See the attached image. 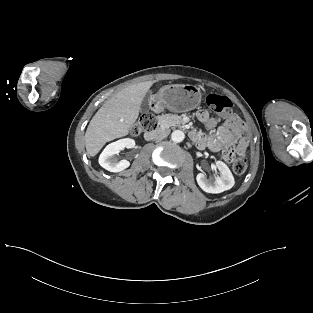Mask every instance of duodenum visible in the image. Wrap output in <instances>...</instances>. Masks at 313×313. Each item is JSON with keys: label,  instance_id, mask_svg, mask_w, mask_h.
<instances>
[{"label": "duodenum", "instance_id": "obj_1", "mask_svg": "<svg viewBox=\"0 0 313 313\" xmlns=\"http://www.w3.org/2000/svg\"><path fill=\"white\" fill-rule=\"evenodd\" d=\"M159 133H160V129H156V130L147 132V133L145 134V138H146L147 140L155 139V138L159 135ZM190 136L193 137V136H194V133L191 132V133H190Z\"/></svg>", "mask_w": 313, "mask_h": 313}]
</instances>
